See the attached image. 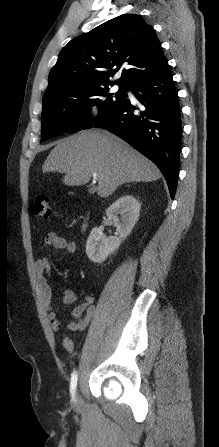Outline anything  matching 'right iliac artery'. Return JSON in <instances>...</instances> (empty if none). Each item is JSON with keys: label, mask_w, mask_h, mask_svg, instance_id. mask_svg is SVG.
Returning a JSON list of instances; mask_svg holds the SVG:
<instances>
[{"label": "right iliac artery", "mask_w": 219, "mask_h": 447, "mask_svg": "<svg viewBox=\"0 0 219 447\" xmlns=\"http://www.w3.org/2000/svg\"><path fill=\"white\" fill-rule=\"evenodd\" d=\"M77 379H78L77 372L74 371L73 374H72V377H71V382H70V392H71V396H72L73 400L75 398V390H76V386H77Z\"/></svg>", "instance_id": "obj_1"}]
</instances>
